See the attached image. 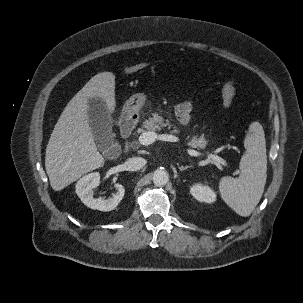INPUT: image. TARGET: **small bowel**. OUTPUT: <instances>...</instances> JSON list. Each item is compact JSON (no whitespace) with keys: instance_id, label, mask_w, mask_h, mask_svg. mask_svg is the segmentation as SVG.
<instances>
[{"instance_id":"small-bowel-1","label":"small bowel","mask_w":303,"mask_h":303,"mask_svg":"<svg viewBox=\"0 0 303 303\" xmlns=\"http://www.w3.org/2000/svg\"><path fill=\"white\" fill-rule=\"evenodd\" d=\"M192 106L189 102H184L176 107V116L178 120L186 125L189 123Z\"/></svg>"}]
</instances>
